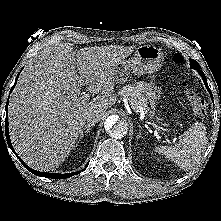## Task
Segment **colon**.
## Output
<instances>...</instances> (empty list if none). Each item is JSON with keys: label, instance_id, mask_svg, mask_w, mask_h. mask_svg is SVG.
Returning <instances> with one entry per match:
<instances>
[{"label": "colon", "instance_id": "5ec220e1", "mask_svg": "<svg viewBox=\"0 0 221 221\" xmlns=\"http://www.w3.org/2000/svg\"><path fill=\"white\" fill-rule=\"evenodd\" d=\"M173 60L176 63H182L183 57L179 54H176L174 55ZM181 85L187 99L194 108L195 114L200 118H205L207 115V105L205 101L189 86L186 79L182 80Z\"/></svg>", "mask_w": 221, "mask_h": 221}]
</instances>
